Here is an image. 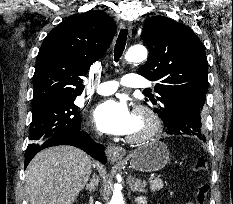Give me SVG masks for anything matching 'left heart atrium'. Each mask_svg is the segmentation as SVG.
I'll use <instances>...</instances> for the list:
<instances>
[{
  "mask_svg": "<svg viewBox=\"0 0 233 204\" xmlns=\"http://www.w3.org/2000/svg\"><path fill=\"white\" fill-rule=\"evenodd\" d=\"M92 116L100 131L113 135L129 134L134 119L126 102L118 99L101 102L94 109Z\"/></svg>",
  "mask_w": 233,
  "mask_h": 204,
  "instance_id": "39dd6f15",
  "label": "left heart atrium"
}]
</instances>
